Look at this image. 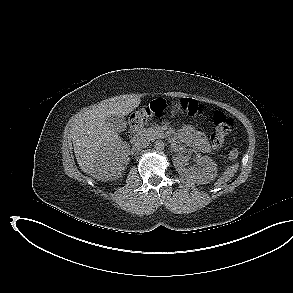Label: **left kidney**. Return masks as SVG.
<instances>
[{
	"mask_svg": "<svg viewBox=\"0 0 293 293\" xmlns=\"http://www.w3.org/2000/svg\"><path fill=\"white\" fill-rule=\"evenodd\" d=\"M188 156L178 154L173 157V164L181 176L197 184H208L217 176V164L208 156L198 159L202 168H186Z\"/></svg>",
	"mask_w": 293,
	"mask_h": 293,
	"instance_id": "left-kidney-1",
	"label": "left kidney"
}]
</instances>
